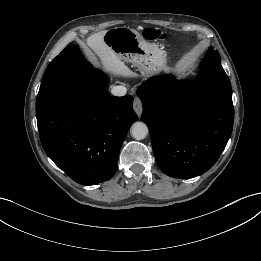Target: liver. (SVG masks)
<instances>
[{"label": "liver", "mask_w": 261, "mask_h": 261, "mask_svg": "<svg viewBox=\"0 0 261 261\" xmlns=\"http://www.w3.org/2000/svg\"><path fill=\"white\" fill-rule=\"evenodd\" d=\"M106 31L95 33L87 38V45L100 58L103 68L115 75L131 76L132 72L104 42Z\"/></svg>", "instance_id": "1"}]
</instances>
